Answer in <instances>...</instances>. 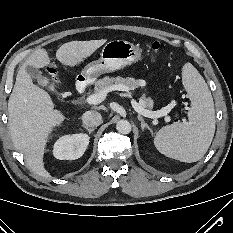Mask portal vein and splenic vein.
Here are the masks:
<instances>
[{
	"mask_svg": "<svg viewBox=\"0 0 233 233\" xmlns=\"http://www.w3.org/2000/svg\"><path fill=\"white\" fill-rule=\"evenodd\" d=\"M112 90H125V89L122 86H112L108 90H100L99 92L88 96L86 98V102L90 105L91 104H93V105L100 104L106 98L107 93L109 91H112ZM175 104H176L175 102H172L169 105L163 107L162 109H160L158 111H150V110L144 109L142 107V105H140V104L136 103L134 100H132V106L139 114H141L145 117H148V118H153V119H156V118H159L162 116H166L171 111V109L173 108V106ZM165 120L167 122H169L170 117L166 116Z\"/></svg>",
	"mask_w": 233,
	"mask_h": 233,
	"instance_id": "portal-vein-and-splenic-vein-1",
	"label": "portal vein and splenic vein"
}]
</instances>
